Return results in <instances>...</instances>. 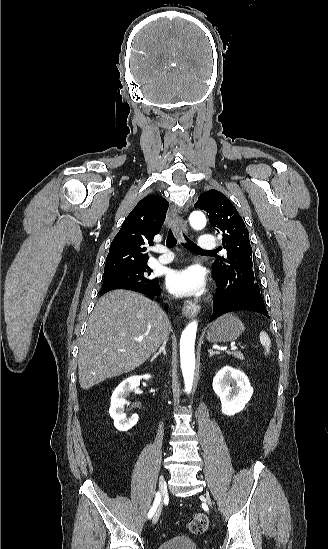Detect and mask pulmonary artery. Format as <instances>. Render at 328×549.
Instances as JSON below:
<instances>
[{
    "instance_id": "e3ab8cb5",
    "label": "pulmonary artery",
    "mask_w": 328,
    "mask_h": 549,
    "mask_svg": "<svg viewBox=\"0 0 328 549\" xmlns=\"http://www.w3.org/2000/svg\"><path fill=\"white\" fill-rule=\"evenodd\" d=\"M196 244L203 249L204 252H218L220 244L218 241H214L212 237H201L196 241ZM173 259V255L169 252H164L159 256L157 262L168 263Z\"/></svg>"
}]
</instances>
